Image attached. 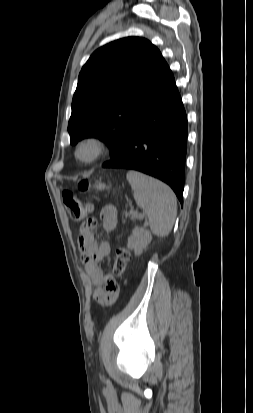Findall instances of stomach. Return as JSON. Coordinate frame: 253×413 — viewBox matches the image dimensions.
Segmentation results:
<instances>
[{"instance_id": "stomach-1", "label": "stomach", "mask_w": 253, "mask_h": 413, "mask_svg": "<svg viewBox=\"0 0 253 413\" xmlns=\"http://www.w3.org/2000/svg\"><path fill=\"white\" fill-rule=\"evenodd\" d=\"M95 188H97L98 190H104L106 188V185L102 183H98L95 185Z\"/></svg>"}]
</instances>
